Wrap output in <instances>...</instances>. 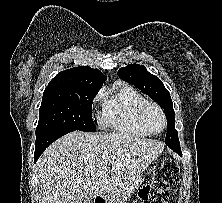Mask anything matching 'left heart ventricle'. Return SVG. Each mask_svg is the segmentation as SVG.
<instances>
[{
  "mask_svg": "<svg viewBox=\"0 0 222 203\" xmlns=\"http://www.w3.org/2000/svg\"><path fill=\"white\" fill-rule=\"evenodd\" d=\"M146 120L149 127L155 132L160 131L163 127L162 116L156 109L151 108L148 110Z\"/></svg>",
  "mask_w": 222,
  "mask_h": 203,
  "instance_id": "1",
  "label": "left heart ventricle"
}]
</instances>
